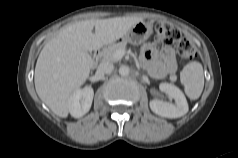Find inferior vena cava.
<instances>
[{"label":"inferior vena cava","instance_id":"1","mask_svg":"<svg viewBox=\"0 0 238 158\" xmlns=\"http://www.w3.org/2000/svg\"><path fill=\"white\" fill-rule=\"evenodd\" d=\"M114 69V65L112 63L109 62H103L100 63V65L98 66L97 72L99 74H110Z\"/></svg>","mask_w":238,"mask_h":158}]
</instances>
